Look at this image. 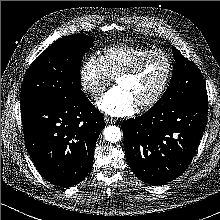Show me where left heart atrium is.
Listing matches in <instances>:
<instances>
[{"instance_id": "left-heart-atrium-1", "label": "left heart atrium", "mask_w": 220, "mask_h": 220, "mask_svg": "<svg viewBox=\"0 0 220 220\" xmlns=\"http://www.w3.org/2000/svg\"><path fill=\"white\" fill-rule=\"evenodd\" d=\"M97 105L104 113L115 117L131 115L137 106L132 95L119 86L107 91Z\"/></svg>"}]
</instances>
